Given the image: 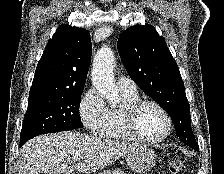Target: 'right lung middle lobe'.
Returning a JSON list of instances; mask_svg holds the SVG:
<instances>
[{"label":"right lung middle lobe","mask_w":224,"mask_h":174,"mask_svg":"<svg viewBox=\"0 0 224 174\" xmlns=\"http://www.w3.org/2000/svg\"><path fill=\"white\" fill-rule=\"evenodd\" d=\"M81 92L29 96L20 141L52 132L82 128L79 116Z\"/></svg>","instance_id":"obj_1"}]
</instances>
